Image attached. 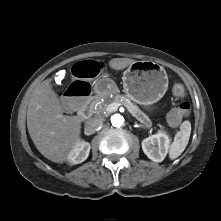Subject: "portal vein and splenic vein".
Here are the masks:
<instances>
[{
	"instance_id": "obj_1",
	"label": "portal vein and splenic vein",
	"mask_w": 221,
	"mask_h": 221,
	"mask_svg": "<svg viewBox=\"0 0 221 221\" xmlns=\"http://www.w3.org/2000/svg\"><path fill=\"white\" fill-rule=\"evenodd\" d=\"M121 104L119 103H111L110 105H108L107 109L111 112V111H116L118 109V107Z\"/></svg>"
}]
</instances>
